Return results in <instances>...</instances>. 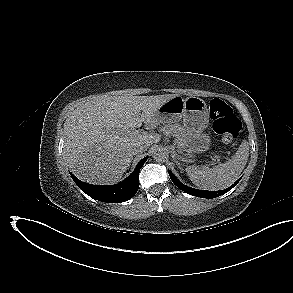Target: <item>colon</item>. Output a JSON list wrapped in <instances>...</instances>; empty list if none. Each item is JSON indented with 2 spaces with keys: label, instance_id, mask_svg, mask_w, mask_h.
Instances as JSON below:
<instances>
[{
  "label": "colon",
  "instance_id": "obj_1",
  "mask_svg": "<svg viewBox=\"0 0 293 293\" xmlns=\"http://www.w3.org/2000/svg\"><path fill=\"white\" fill-rule=\"evenodd\" d=\"M210 117L214 131L221 135L224 143L231 145L238 139L242 123L231 107L220 99L209 102Z\"/></svg>",
  "mask_w": 293,
  "mask_h": 293
}]
</instances>
